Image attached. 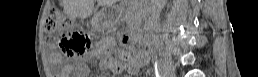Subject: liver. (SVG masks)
<instances>
[{"mask_svg":"<svg viewBox=\"0 0 258 77\" xmlns=\"http://www.w3.org/2000/svg\"><path fill=\"white\" fill-rule=\"evenodd\" d=\"M98 6L112 5L116 0H98ZM64 11L82 18L89 17L94 8V0H64Z\"/></svg>","mask_w":258,"mask_h":77,"instance_id":"liver-1","label":"liver"}]
</instances>
